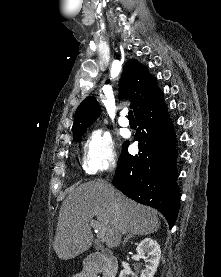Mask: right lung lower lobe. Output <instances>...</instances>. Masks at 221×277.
<instances>
[{
    "label": "right lung lower lobe",
    "mask_w": 221,
    "mask_h": 277,
    "mask_svg": "<svg viewBox=\"0 0 221 277\" xmlns=\"http://www.w3.org/2000/svg\"><path fill=\"white\" fill-rule=\"evenodd\" d=\"M139 125L134 139L139 141L138 155L122 146L113 185L131 199L161 211L174 226L180 205L176 180V136L163 101V92L135 114Z\"/></svg>",
    "instance_id": "98d812e1"
}]
</instances>
